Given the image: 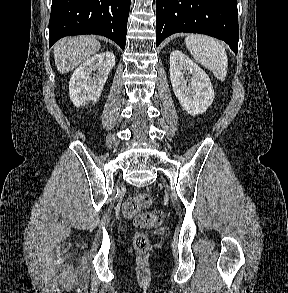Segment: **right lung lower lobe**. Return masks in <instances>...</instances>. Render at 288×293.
I'll list each match as a JSON object with an SVG mask.
<instances>
[{"instance_id": "1", "label": "right lung lower lobe", "mask_w": 288, "mask_h": 293, "mask_svg": "<svg viewBox=\"0 0 288 293\" xmlns=\"http://www.w3.org/2000/svg\"><path fill=\"white\" fill-rule=\"evenodd\" d=\"M131 0H52L49 47L64 36L97 34L125 48Z\"/></svg>"}]
</instances>
